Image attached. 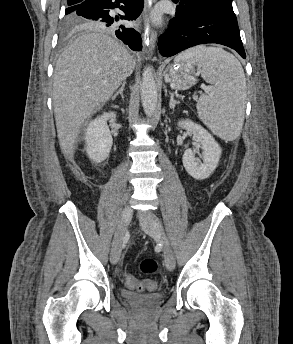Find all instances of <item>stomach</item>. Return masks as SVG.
<instances>
[{
  "label": "stomach",
  "mask_w": 293,
  "mask_h": 344,
  "mask_svg": "<svg viewBox=\"0 0 293 344\" xmlns=\"http://www.w3.org/2000/svg\"><path fill=\"white\" fill-rule=\"evenodd\" d=\"M200 68L188 60L175 59L165 75L171 87L177 90H187L197 82Z\"/></svg>",
  "instance_id": "obj_1"
}]
</instances>
